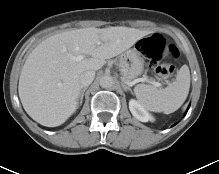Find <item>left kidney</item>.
<instances>
[{"label":"left kidney","mask_w":219,"mask_h":174,"mask_svg":"<svg viewBox=\"0 0 219 174\" xmlns=\"http://www.w3.org/2000/svg\"><path fill=\"white\" fill-rule=\"evenodd\" d=\"M129 109L132 115L141 122L153 120V117L146 111V109L134 99L129 101Z\"/></svg>","instance_id":"left-kidney-1"}]
</instances>
